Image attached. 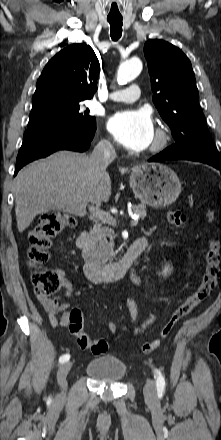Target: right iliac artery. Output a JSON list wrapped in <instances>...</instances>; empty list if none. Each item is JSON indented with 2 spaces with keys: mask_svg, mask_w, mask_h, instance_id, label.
<instances>
[{
  "mask_svg": "<svg viewBox=\"0 0 221 440\" xmlns=\"http://www.w3.org/2000/svg\"><path fill=\"white\" fill-rule=\"evenodd\" d=\"M70 359V355L69 354H64L59 358V363H65Z\"/></svg>",
  "mask_w": 221,
  "mask_h": 440,
  "instance_id": "1",
  "label": "right iliac artery"
}]
</instances>
